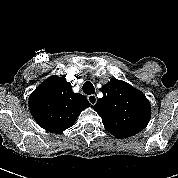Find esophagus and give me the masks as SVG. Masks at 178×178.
<instances>
[{
    "label": "esophagus",
    "instance_id": "1",
    "mask_svg": "<svg viewBox=\"0 0 178 178\" xmlns=\"http://www.w3.org/2000/svg\"><path fill=\"white\" fill-rule=\"evenodd\" d=\"M87 99H88L89 103H90L92 106L95 105L96 102H97V97H96V95H94V94L89 95V96L87 97Z\"/></svg>",
    "mask_w": 178,
    "mask_h": 178
}]
</instances>
